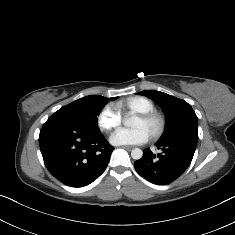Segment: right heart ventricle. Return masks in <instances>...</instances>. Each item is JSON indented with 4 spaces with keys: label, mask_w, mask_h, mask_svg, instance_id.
Here are the masks:
<instances>
[{
    "label": "right heart ventricle",
    "mask_w": 235,
    "mask_h": 235,
    "mask_svg": "<svg viewBox=\"0 0 235 235\" xmlns=\"http://www.w3.org/2000/svg\"><path fill=\"white\" fill-rule=\"evenodd\" d=\"M118 107L123 112H135L138 114H145L155 109L154 102L144 96L128 97L118 103Z\"/></svg>",
    "instance_id": "1"
}]
</instances>
